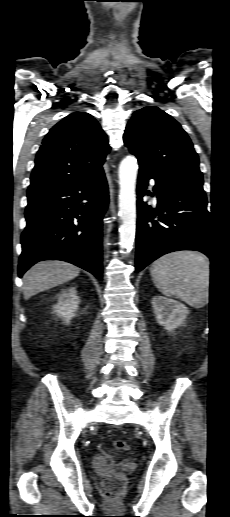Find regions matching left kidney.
Listing matches in <instances>:
<instances>
[{"label":"left kidney","mask_w":230,"mask_h":517,"mask_svg":"<svg viewBox=\"0 0 230 517\" xmlns=\"http://www.w3.org/2000/svg\"><path fill=\"white\" fill-rule=\"evenodd\" d=\"M152 307L158 323L168 331L181 326L189 314L184 304L163 296L153 297Z\"/></svg>","instance_id":"left-kidney-1"}]
</instances>
